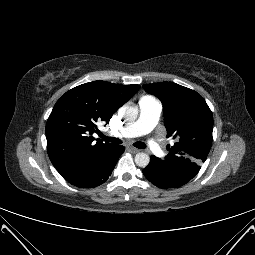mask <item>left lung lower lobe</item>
Here are the masks:
<instances>
[{"label":"left lung lower lobe","mask_w":255,"mask_h":255,"mask_svg":"<svg viewBox=\"0 0 255 255\" xmlns=\"http://www.w3.org/2000/svg\"><path fill=\"white\" fill-rule=\"evenodd\" d=\"M143 174L151 183L163 189L180 187L193 178L162 166L155 156H151L149 165L143 169Z\"/></svg>","instance_id":"obj_1"}]
</instances>
